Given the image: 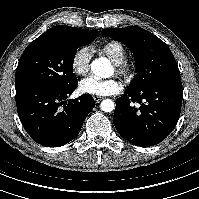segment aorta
<instances>
[{
	"instance_id": "762f6f07",
	"label": "aorta",
	"mask_w": 199,
	"mask_h": 199,
	"mask_svg": "<svg viewBox=\"0 0 199 199\" xmlns=\"http://www.w3.org/2000/svg\"><path fill=\"white\" fill-rule=\"evenodd\" d=\"M111 65L108 59L100 57L92 61L91 71L97 78H105L109 75ZM100 108L104 112H111L114 110V102L110 99H105L101 102Z\"/></svg>"
}]
</instances>
